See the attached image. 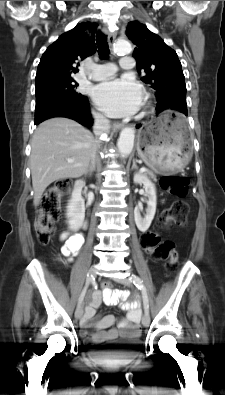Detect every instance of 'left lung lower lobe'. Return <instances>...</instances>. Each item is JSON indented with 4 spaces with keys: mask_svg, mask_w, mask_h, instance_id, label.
<instances>
[{
    "mask_svg": "<svg viewBox=\"0 0 225 395\" xmlns=\"http://www.w3.org/2000/svg\"><path fill=\"white\" fill-rule=\"evenodd\" d=\"M167 109L176 110L186 116L188 115L187 110H185L184 104L179 100L158 101L156 106V114H159ZM140 126L141 125H137V128H140Z\"/></svg>",
    "mask_w": 225,
    "mask_h": 395,
    "instance_id": "obj_1",
    "label": "left lung lower lobe"
}]
</instances>
